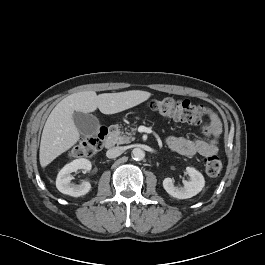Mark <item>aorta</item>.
<instances>
[{"mask_svg": "<svg viewBox=\"0 0 265 265\" xmlns=\"http://www.w3.org/2000/svg\"><path fill=\"white\" fill-rule=\"evenodd\" d=\"M132 157L138 161L143 160L145 157V152L140 148H134L132 150Z\"/></svg>", "mask_w": 265, "mask_h": 265, "instance_id": "762f6f07", "label": "aorta"}]
</instances>
